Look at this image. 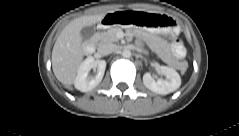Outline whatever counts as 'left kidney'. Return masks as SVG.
Wrapping results in <instances>:
<instances>
[{
    "label": "left kidney",
    "instance_id": "obj_1",
    "mask_svg": "<svg viewBox=\"0 0 239 136\" xmlns=\"http://www.w3.org/2000/svg\"><path fill=\"white\" fill-rule=\"evenodd\" d=\"M158 72L164 75L166 79H158L155 81L150 73H145L143 75V83L146 88L157 94L166 95L180 87L181 78L175 69L167 66H159Z\"/></svg>",
    "mask_w": 239,
    "mask_h": 136
}]
</instances>
